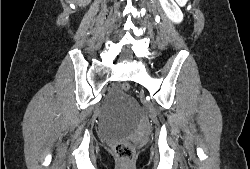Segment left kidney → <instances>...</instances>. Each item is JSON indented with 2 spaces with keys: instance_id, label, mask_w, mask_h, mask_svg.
Instances as JSON below:
<instances>
[{
  "instance_id": "1",
  "label": "left kidney",
  "mask_w": 250,
  "mask_h": 169,
  "mask_svg": "<svg viewBox=\"0 0 250 169\" xmlns=\"http://www.w3.org/2000/svg\"><path fill=\"white\" fill-rule=\"evenodd\" d=\"M160 4L166 16H168L172 22H182L183 12L175 0H160Z\"/></svg>"
}]
</instances>
